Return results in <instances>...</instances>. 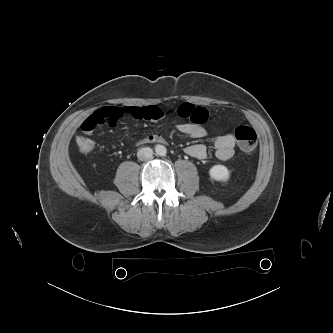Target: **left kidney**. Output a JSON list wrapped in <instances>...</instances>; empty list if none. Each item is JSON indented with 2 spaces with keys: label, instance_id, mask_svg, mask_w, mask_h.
Listing matches in <instances>:
<instances>
[{
  "label": "left kidney",
  "instance_id": "1",
  "mask_svg": "<svg viewBox=\"0 0 333 333\" xmlns=\"http://www.w3.org/2000/svg\"><path fill=\"white\" fill-rule=\"evenodd\" d=\"M209 175L212 179L217 181H227L230 173L224 165H215L209 170Z\"/></svg>",
  "mask_w": 333,
  "mask_h": 333
}]
</instances>
